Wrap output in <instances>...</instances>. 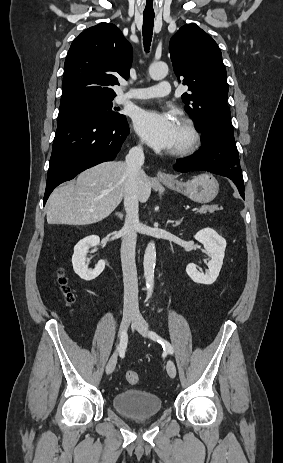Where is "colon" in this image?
<instances>
[{"mask_svg": "<svg viewBox=\"0 0 283 463\" xmlns=\"http://www.w3.org/2000/svg\"><path fill=\"white\" fill-rule=\"evenodd\" d=\"M56 283L58 286V290L61 293L63 300L66 303H72L75 299V295L72 292L71 288L67 285V280L63 275L62 271H59L56 276ZM126 381L129 384H138L140 382V376L135 371H128L125 375Z\"/></svg>", "mask_w": 283, "mask_h": 463, "instance_id": "obj_1", "label": "colon"}]
</instances>
